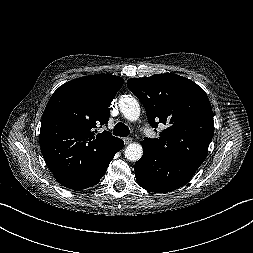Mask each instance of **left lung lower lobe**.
<instances>
[{
  "label": "left lung lower lobe",
  "instance_id": "obj_1",
  "mask_svg": "<svg viewBox=\"0 0 253 253\" xmlns=\"http://www.w3.org/2000/svg\"><path fill=\"white\" fill-rule=\"evenodd\" d=\"M143 156L135 163L134 171L138 184L155 193H167L184 186L201 163L189 160L179 164L162 161L156 152L141 142Z\"/></svg>",
  "mask_w": 253,
  "mask_h": 253
}]
</instances>
